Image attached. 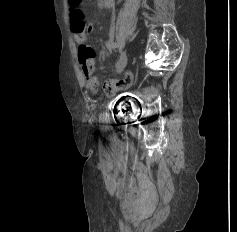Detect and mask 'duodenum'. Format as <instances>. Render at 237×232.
Masks as SVG:
<instances>
[{
  "label": "duodenum",
  "instance_id": "1",
  "mask_svg": "<svg viewBox=\"0 0 237 232\" xmlns=\"http://www.w3.org/2000/svg\"><path fill=\"white\" fill-rule=\"evenodd\" d=\"M114 0H99V3L103 7H109L112 5Z\"/></svg>",
  "mask_w": 237,
  "mask_h": 232
}]
</instances>
